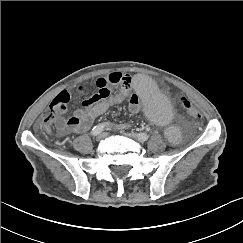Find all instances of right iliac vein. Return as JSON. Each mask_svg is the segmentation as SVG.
<instances>
[{
    "instance_id": "obj_1",
    "label": "right iliac vein",
    "mask_w": 243,
    "mask_h": 243,
    "mask_svg": "<svg viewBox=\"0 0 243 243\" xmlns=\"http://www.w3.org/2000/svg\"><path fill=\"white\" fill-rule=\"evenodd\" d=\"M106 136H107V134L105 132H102V133L97 135L96 140L101 141L104 138H106Z\"/></svg>"
}]
</instances>
